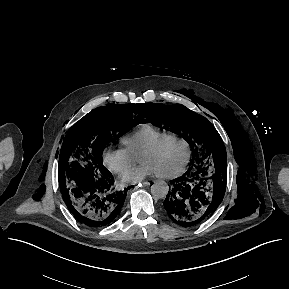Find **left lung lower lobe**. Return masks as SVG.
I'll return each instance as SVG.
<instances>
[{"label":"left lung lower lobe","mask_w":289,"mask_h":289,"mask_svg":"<svg viewBox=\"0 0 289 289\" xmlns=\"http://www.w3.org/2000/svg\"><path fill=\"white\" fill-rule=\"evenodd\" d=\"M227 162L214 169L189 168L171 187L163 202L168 216L180 226H192L209 218L222 202L227 179Z\"/></svg>","instance_id":"left-lung-lower-lobe-1"}]
</instances>
